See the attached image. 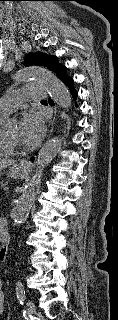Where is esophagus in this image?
I'll return each instance as SVG.
<instances>
[{
	"label": "esophagus",
	"mask_w": 118,
	"mask_h": 320,
	"mask_svg": "<svg viewBox=\"0 0 118 320\" xmlns=\"http://www.w3.org/2000/svg\"><path fill=\"white\" fill-rule=\"evenodd\" d=\"M54 119L55 118H53V120L51 121V125L53 124V122H54ZM52 128L50 129V131H49V135L52 133ZM35 161H36V156H34V155H31V156H29L28 158H27V160H25V164H27V165H33L34 163H35Z\"/></svg>",
	"instance_id": "1"
}]
</instances>
